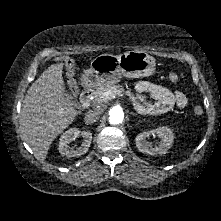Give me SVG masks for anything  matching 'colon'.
I'll list each match as a JSON object with an SVG mask.
<instances>
[{"instance_id": "5ec220e1", "label": "colon", "mask_w": 221, "mask_h": 221, "mask_svg": "<svg viewBox=\"0 0 221 221\" xmlns=\"http://www.w3.org/2000/svg\"><path fill=\"white\" fill-rule=\"evenodd\" d=\"M178 79H179V77L175 73H172L169 75V80L173 83L177 82ZM71 89H72L73 93L76 92V86L73 83H72ZM193 111H194V114L197 116H201L204 112L203 108L199 105L195 106Z\"/></svg>"}]
</instances>
